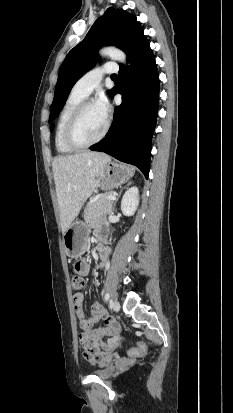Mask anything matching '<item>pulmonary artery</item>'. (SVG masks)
Here are the masks:
<instances>
[{"mask_svg": "<svg viewBox=\"0 0 233 413\" xmlns=\"http://www.w3.org/2000/svg\"><path fill=\"white\" fill-rule=\"evenodd\" d=\"M118 67L114 63H107L97 67L83 75L74 85L73 91L87 97L100 83L105 74L117 72Z\"/></svg>", "mask_w": 233, "mask_h": 413, "instance_id": "pulmonary-artery-1", "label": "pulmonary artery"}]
</instances>
